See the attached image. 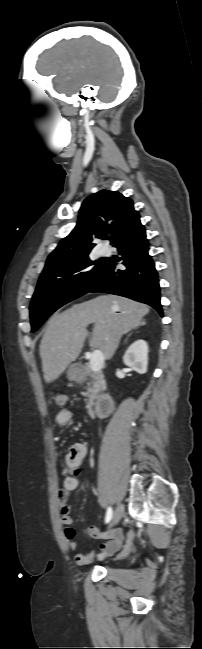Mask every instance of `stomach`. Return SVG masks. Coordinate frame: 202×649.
<instances>
[{
	"label": "stomach",
	"instance_id": "obj_1",
	"mask_svg": "<svg viewBox=\"0 0 202 649\" xmlns=\"http://www.w3.org/2000/svg\"><path fill=\"white\" fill-rule=\"evenodd\" d=\"M81 370L77 365H72L69 367L67 371V375L69 380L71 381H78L80 377Z\"/></svg>",
	"mask_w": 202,
	"mask_h": 649
}]
</instances>
